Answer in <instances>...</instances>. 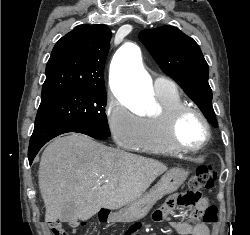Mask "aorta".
<instances>
[{
	"label": "aorta",
	"mask_w": 250,
	"mask_h": 235,
	"mask_svg": "<svg viewBox=\"0 0 250 235\" xmlns=\"http://www.w3.org/2000/svg\"><path fill=\"white\" fill-rule=\"evenodd\" d=\"M110 82L116 97L126 106L143 105L150 97L152 81L142 66L137 45L126 43L116 52L111 63Z\"/></svg>",
	"instance_id": "762f6f07"
}]
</instances>
